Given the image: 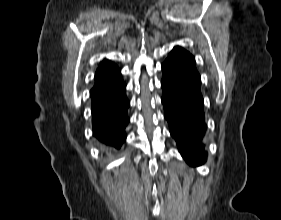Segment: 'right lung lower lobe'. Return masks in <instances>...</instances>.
Returning <instances> with one entry per match:
<instances>
[{
  "instance_id": "98d812e1",
  "label": "right lung lower lobe",
  "mask_w": 281,
  "mask_h": 220,
  "mask_svg": "<svg viewBox=\"0 0 281 220\" xmlns=\"http://www.w3.org/2000/svg\"><path fill=\"white\" fill-rule=\"evenodd\" d=\"M125 88L126 84L121 80L117 84L93 88L90 91L93 135L109 149H119L126 139L129 101Z\"/></svg>"
}]
</instances>
